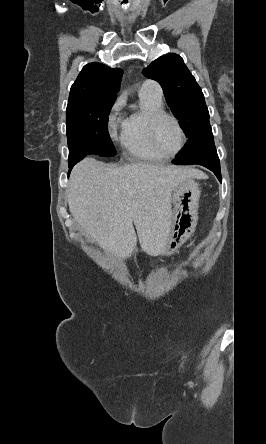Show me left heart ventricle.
Wrapping results in <instances>:
<instances>
[{"instance_id": "obj_1", "label": "left heart ventricle", "mask_w": 266, "mask_h": 444, "mask_svg": "<svg viewBox=\"0 0 266 444\" xmlns=\"http://www.w3.org/2000/svg\"><path fill=\"white\" fill-rule=\"evenodd\" d=\"M158 146L164 153H173L180 144V134L176 124L169 118L162 119L156 129Z\"/></svg>"}]
</instances>
